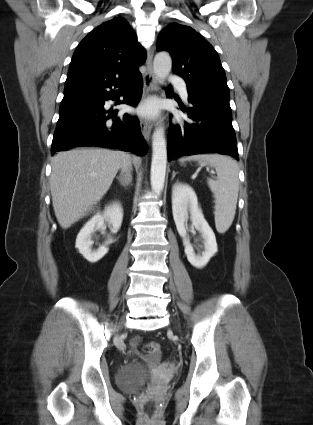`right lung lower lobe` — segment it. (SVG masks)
Segmentation results:
<instances>
[{
  "label": "right lung lower lobe",
  "instance_id": "1",
  "mask_svg": "<svg viewBox=\"0 0 313 425\" xmlns=\"http://www.w3.org/2000/svg\"><path fill=\"white\" fill-rule=\"evenodd\" d=\"M111 87L120 89L114 91ZM141 94V73L138 70L127 76L67 80L51 152L79 146H101L142 156L146 152V142L138 119L127 114L115 118L118 111L104 107L105 100H119L121 95L124 100H119V104L136 106Z\"/></svg>",
  "mask_w": 313,
  "mask_h": 425
}]
</instances>
